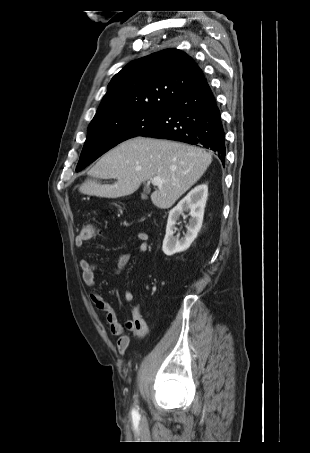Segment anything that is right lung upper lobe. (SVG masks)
Returning a JSON list of instances; mask_svg holds the SVG:
<instances>
[{"label": "right lung upper lobe", "mask_w": 310, "mask_h": 453, "mask_svg": "<svg viewBox=\"0 0 310 453\" xmlns=\"http://www.w3.org/2000/svg\"><path fill=\"white\" fill-rule=\"evenodd\" d=\"M203 79L195 61L178 49L134 60L112 78L93 120L121 112L163 111Z\"/></svg>", "instance_id": "1"}]
</instances>
